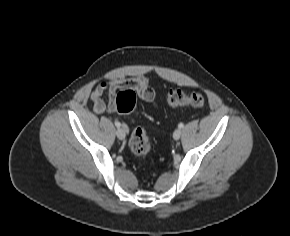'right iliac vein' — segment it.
Listing matches in <instances>:
<instances>
[{
	"label": "right iliac vein",
	"mask_w": 290,
	"mask_h": 236,
	"mask_svg": "<svg viewBox=\"0 0 290 236\" xmlns=\"http://www.w3.org/2000/svg\"><path fill=\"white\" fill-rule=\"evenodd\" d=\"M127 127L126 125H122L120 128L117 129L116 135L120 140H123L126 136Z\"/></svg>",
	"instance_id": "1"
}]
</instances>
